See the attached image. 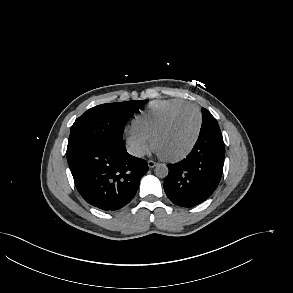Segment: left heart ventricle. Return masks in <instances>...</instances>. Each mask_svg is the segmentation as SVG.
I'll use <instances>...</instances> for the list:
<instances>
[{
    "instance_id": "left-heart-ventricle-1",
    "label": "left heart ventricle",
    "mask_w": 293,
    "mask_h": 293,
    "mask_svg": "<svg viewBox=\"0 0 293 293\" xmlns=\"http://www.w3.org/2000/svg\"><path fill=\"white\" fill-rule=\"evenodd\" d=\"M198 125V117L194 110L183 111L175 117L169 127L159 135L155 148L165 156L182 153L191 144Z\"/></svg>"
}]
</instances>
